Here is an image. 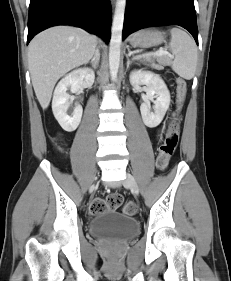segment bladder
Wrapping results in <instances>:
<instances>
[{"label":"bladder","mask_w":231,"mask_h":281,"mask_svg":"<svg viewBox=\"0 0 231 281\" xmlns=\"http://www.w3.org/2000/svg\"><path fill=\"white\" fill-rule=\"evenodd\" d=\"M87 229L95 238L130 239L139 232V222L126 214L108 209L89 218Z\"/></svg>","instance_id":"1"}]
</instances>
